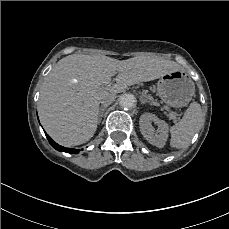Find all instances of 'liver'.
Instances as JSON below:
<instances>
[{"label": "liver", "mask_w": 229, "mask_h": 229, "mask_svg": "<svg viewBox=\"0 0 229 229\" xmlns=\"http://www.w3.org/2000/svg\"><path fill=\"white\" fill-rule=\"evenodd\" d=\"M181 69L171 60L69 55L57 62L42 84L37 111L42 126L58 144L70 147L89 141L98 124L99 104H111L128 86ZM116 73V84L108 85Z\"/></svg>", "instance_id": "6515ba94"}]
</instances>
